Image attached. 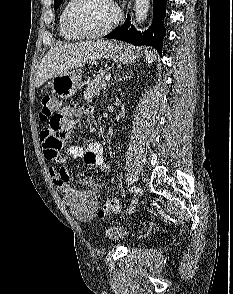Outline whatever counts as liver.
<instances>
[{
    "instance_id": "liver-1",
    "label": "liver",
    "mask_w": 233,
    "mask_h": 294,
    "mask_svg": "<svg viewBox=\"0 0 233 294\" xmlns=\"http://www.w3.org/2000/svg\"><path fill=\"white\" fill-rule=\"evenodd\" d=\"M113 46L110 41L96 40L52 47L42 59L36 74V87L48 79L103 57Z\"/></svg>"
}]
</instances>
